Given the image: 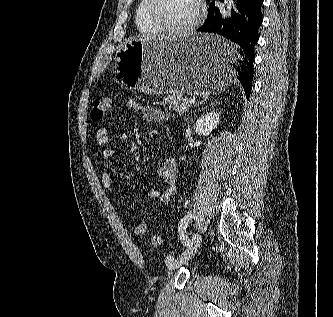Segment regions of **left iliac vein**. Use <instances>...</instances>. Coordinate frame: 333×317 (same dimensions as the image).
<instances>
[{
  "instance_id": "4c4485c4",
  "label": "left iliac vein",
  "mask_w": 333,
  "mask_h": 317,
  "mask_svg": "<svg viewBox=\"0 0 333 317\" xmlns=\"http://www.w3.org/2000/svg\"><path fill=\"white\" fill-rule=\"evenodd\" d=\"M201 243H202V236L200 234L196 233L190 242V246L188 247V250L185 251L184 253H182L178 258H176L172 262L168 263L167 268L169 270H174V269L178 268L179 266H181L182 264L186 263L189 259H191L196 254V252L200 248Z\"/></svg>"
}]
</instances>
